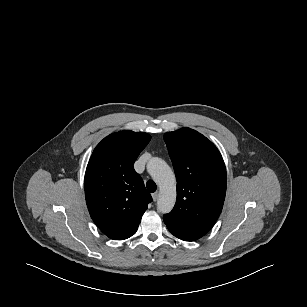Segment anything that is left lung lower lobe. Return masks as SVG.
Masks as SVG:
<instances>
[{
    "mask_svg": "<svg viewBox=\"0 0 307 307\" xmlns=\"http://www.w3.org/2000/svg\"><path fill=\"white\" fill-rule=\"evenodd\" d=\"M167 227H168L169 231H170L174 236H176L177 238H179V239H181V240H184V241H193V239H191V238H189V237H187V236H185V235H183V234H181V233H179V232L173 230L170 226L167 225Z\"/></svg>",
    "mask_w": 307,
    "mask_h": 307,
    "instance_id": "left-lung-lower-lobe-1",
    "label": "left lung lower lobe"
}]
</instances>
